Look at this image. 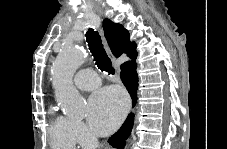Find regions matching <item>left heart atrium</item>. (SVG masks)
<instances>
[{
    "label": "left heart atrium",
    "instance_id": "39dd6f15",
    "mask_svg": "<svg viewBox=\"0 0 227 149\" xmlns=\"http://www.w3.org/2000/svg\"><path fill=\"white\" fill-rule=\"evenodd\" d=\"M126 110L125 94L116 87H106L90 97L88 121L97 134L105 135L115 129Z\"/></svg>",
    "mask_w": 227,
    "mask_h": 149
}]
</instances>
